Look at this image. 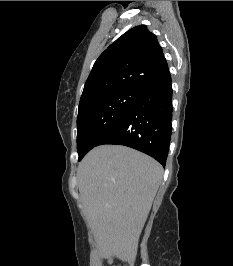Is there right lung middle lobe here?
Segmentation results:
<instances>
[{
	"label": "right lung middle lobe",
	"instance_id": "dd1d6c3e",
	"mask_svg": "<svg viewBox=\"0 0 233 266\" xmlns=\"http://www.w3.org/2000/svg\"><path fill=\"white\" fill-rule=\"evenodd\" d=\"M142 90L121 89L94 96L79 104L77 117V147L79 158L97 145L137 102Z\"/></svg>",
	"mask_w": 233,
	"mask_h": 266
}]
</instances>
